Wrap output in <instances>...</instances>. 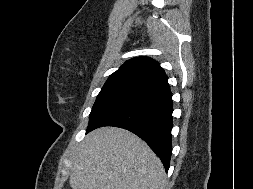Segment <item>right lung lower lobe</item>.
Here are the masks:
<instances>
[{"label":"right lung lower lobe","mask_w":253,"mask_h":189,"mask_svg":"<svg viewBox=\"0 0 253 189\" xmlns=\"http://www.w3.org/2000/svg\"><path fill=\"white\" fill-rule=\"evenodd\" d=\"M172 112V94L168 85L109 114L95 126L88 128L86 133L102 126L130 130L147 142L161 159L167 172L172 151Z\"/></svg>","instance_id":"obj_1"}]
</instances>
